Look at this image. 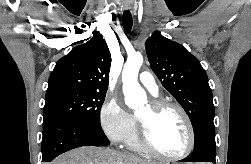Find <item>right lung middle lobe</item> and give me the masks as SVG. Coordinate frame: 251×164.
Segmentation results:
<instances>
[{
	"label": "right lung middle lobe",
	"instance_id": "obj_1",
	"mask_svg": "<svg viewBox=\"0 0 251 164\" xmlns=\"http://www.w3.org/2000/svg\"><path fill=\"white\" fill-rule=\"evenodd\" d=\"M105 93L58 89L45 96L43 122L66 119L100 126V109Z\"/></svg>",
	"mask_w": 251,
	"mask_h": 164
}]
</instances>
